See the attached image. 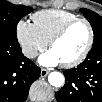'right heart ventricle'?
<instances>
[{
	"mask_svg": "<svg viewBox=\"0 0 102 102\" xmlns=\"http://www.w3.org/2000/svg\"><path fill=\"white\" fill-rule=\"evenodd\" d=\"M76 18H78L77 15L58 9L38 11L32 16L34 26L47 42L66 23Z\"/></svg>",
	"mask_w": 102,
	"mask_h": 102,
	"instance_id": "right-heart-ventricle-1",
	"label": "right heart ventricle"
}]
</instances>
